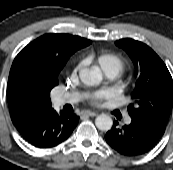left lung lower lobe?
<instances>
[{"instance_id": "left-lung-lower-lobe-1", "label": "left lung lower lobe", "mask_w": 173, "mask_h": 170, "mask_svg": "<svg viewBox=\"0 0 173 170\" xmlns=\"http://www.w3.org/2000/svg\"><path fill=\"white\" fill-rule=\"evenodd\" d=\"M113 127L105 135L107 143L117 152L126 156H137L147 153L161 139L165 130L156 125L137 118H132L129 125Z\"/></svg>"}]
</instances>
